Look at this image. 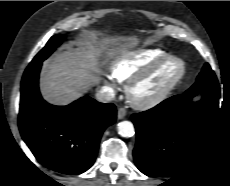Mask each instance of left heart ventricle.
Here are the masks:
<instances>
[{
  "mask_svg": "<svg viewBox=\"0 0 230 186\" xmlns=\"http://www.w3.org/2000/svg\"><path fill=\"white\" fill-rule=\"evenodd\" d=\"M177 70L175 62H167L153 76L137 86L136 96L145 98L155 94L176 74Z\"/></svg>",
  "mask_w": 230,
  "mask_h": 186,
  "instance_id": "1",
  "label": "left heart ventricle"
}]
</instances>
